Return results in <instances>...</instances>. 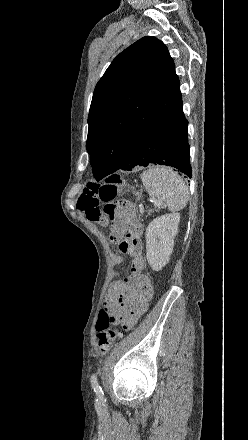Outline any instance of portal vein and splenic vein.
I'll use <instances>...</instances> for the list:
<instances>
[{"label":"portal vein and splenic vein","mask_w":248,"mask_h":440,"mask_svg":"<svg viewBox=\"0 0 248 440\" xmlns=\"http://www.w3.org/2000/svg\"><path fill=\"white\" fill-rule=\"evenodd\" d=\"M150 201H151L152 203H154L155 206H159V205H161V203L157 202V201L154 200V199H150Z\"/></svg>","instance_id":"portal-vein-and-splenic-vein-1"}]
</instances>
